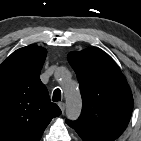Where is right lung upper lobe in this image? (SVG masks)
<instances>
[{
    "label": "right lung upper lobe",
    "mask_w": 141,
    "mask_h": 141,
    "mask_svg": "<svg viewBox=\"0 0 141 141\" xmlns=\"http://www.w3.org/2000/svg\"><path fill=\"white\" fill-rule=\"evenodd\" d=\"M46 49L29 45L0 65V141H39L61 114L39 76Z\"/></svg>",
    "instance_id": "cb5924a9"
}]
</instances>
